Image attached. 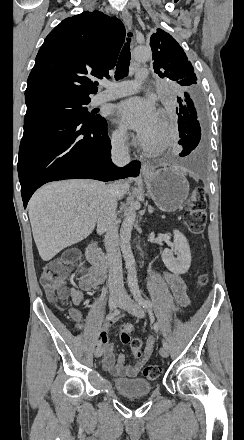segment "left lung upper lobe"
<instances>
[{
	"label": "left lung upper lobe",
	"mask_w": 244,
	"mask_h": 440,
	"mask_svg": "<svg viewBox=\"0 0 244 440\" xmlns=\"http://www.w3.org/2000/svg\"><path fill=\"white\" fill-rule=\"evenodd\" d=\"M150 46L154 71L161 78H169L182 86L193 87L196 84L197 78L192 64L171 35L157 29L150 38Z\"/></svg>",
	"instance_id": "left-lung-upper-lobe-1"
}]
</instances>
